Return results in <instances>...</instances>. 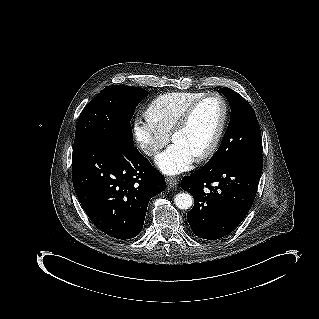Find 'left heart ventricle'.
Returning <instances> with one entry per match:
<instances>
[{"label": "left heart ventricle", "mask_w": 319, "mask_h": 319, "mask_svg": "<svg viewBox=\"0 0 319 319\" xmlns=\"http://www.w3.org/2000/svg\"><path fill=\"white\" fill-rule=\"evenodd\" d=\"M220 118V105L208 100L199 105L187 123L178 132L176 141L183 144L193 154L204 149L212 139Z\"/></svg>", "instance_id": "obj_1"}]
</instances>
